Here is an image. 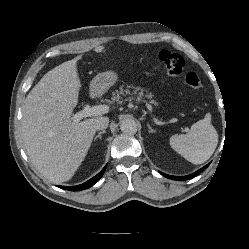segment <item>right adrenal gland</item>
Segmentation results:
<instances>
[{
    "label": "right adrenal gland",
    "instance_id": "obj_1",
    "mask_svg": "<svg viewBox=\"0 0 249 249\" xmlns=\"http://www.w3.org/2000/svg\"><path fill=\"white\" fill-rule=\"evenodd\" d=\"M105 132H106L105 130H102L101 132H99L98 135L94 138V140L98 138L101 139L102 138L101 135L104 134Z\"/></svg>",
    "mask_w": 249,
    "mask_h": 249
}]
</instances>
